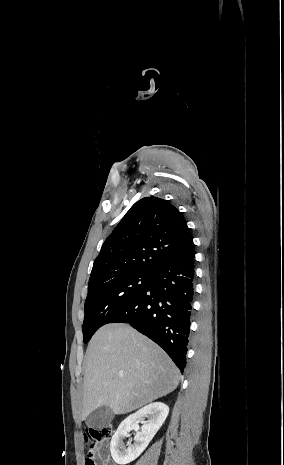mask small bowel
Returning <instances> with one entry per match:
<instances>
[{
    "mask_svg": "<svg viewBox=\"0 0 284 465\" xmlns=\"http://www.w3.org/2000/svg\"><path fill=\"white\" fill-rule=\"evenodd\" d=\"M99 465H109L110 456L107 453L106 449H102L98 453Z\"/></svg>",
    "mask_w": 284,
    "mask_h": 465,
    "instance_id": "obj_1",
    "label": "small bowel"
}]
</instances>
